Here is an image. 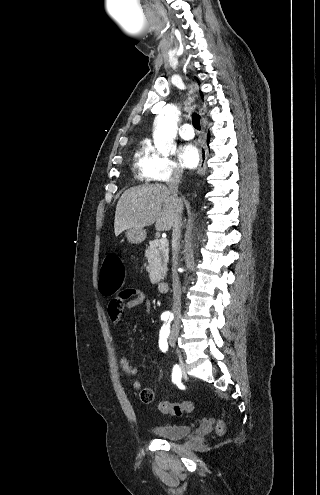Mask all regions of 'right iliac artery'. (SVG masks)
Masks as SVG:
<instances>
[{
  "label": "right iliac artery",
  "instance_id": "right-iliac-artery-1",
  "mask_svg": "<svg viewBox=\"0 0 320 495\" xmlns=\"http://www.w3.org/2000/svg\"><path fill=\"white\" fill-rule=\"evenodd\" d=\"M168 317H169L168 314H163L161 316V319L165 321L168 319ZM180 378H181V370L178 365H175L173 368L172 379L174 382H178L180 381Z\"/></svg>",
  "mask_w": 320,
  "mask_h": 495
}]
</instances>
